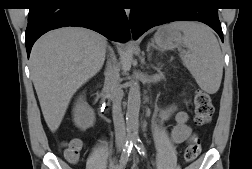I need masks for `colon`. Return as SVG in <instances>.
I'll use <instances>...</instances> for the list:
<instances>
[{
    "mask_svg": "<svg viewBox=\"0 0 252 169\" xmlns=\"http://www.w3.org/2000/svg\"><path fill=\"white\" fill-rule=\"evenodd\" d=\"M195 116L194 121L197 126H204L211 120L214 112L213 103L208 93L198 90L194 97ZM81 145L70 141L64 149V156L70 162L79 160ZM201 152V143L199 139L192 141L186 148L184 160L188 163L197 159Z\"/></svg>",
    "mask_w": 252,
    "mask_h": 169,
    "instance_id": "5ec220e1",
    "label": "colon"
}]
</instances>
